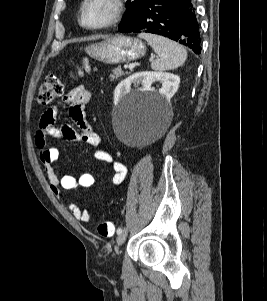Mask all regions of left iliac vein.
I'll use <instances>...</instances> for the list:
<instances>
[{
  "mask_svg": "<svg viewBox=\"0 0 267 301\" xmlns=\"http://www.w3.org/2000/svg\"><path fill=\"white\" fill-rule=\"evenodd\" d=\"M127 234H128V230L126 228H124L122 230V232L120 234H118L117 240H116L118 246H121L124 243V241L127 237Z\"/></svg>",
  "mask_w": 267,
  "mask_h": 301,
  "instance_id": "obj_1",
  "label": "left iliac vein"
}]
</instances>
